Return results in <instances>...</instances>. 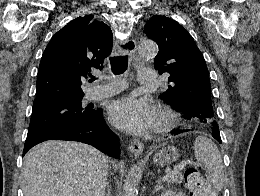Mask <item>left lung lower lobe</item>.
<instances>
[{"mask_svg":"<svg viewBox=\"0 0 260 196\" xmlns=\"http://www.w3.org/2000/svg\"><path fill=\"white\" fill-rule=\"evenodd\" d=\"M190 118H196V119H210L215 117L213 108L211 107H197L194 108L190 113H189ZM189 130H174L171 131L172 134L177 135L179 133H183ZM212 136L219 142L222 143L221 138H220V133H219V127L217 122H214L212 125Z\"/></svg>","mask_w":260,"mask_h":196,"instance_id":"1","label":"left lung lower lobe"}]
</instances>
